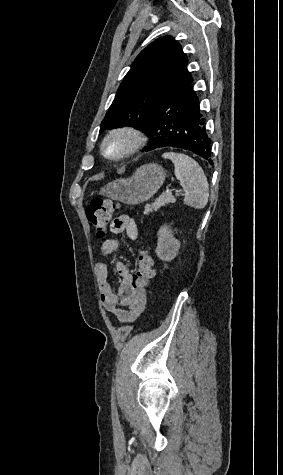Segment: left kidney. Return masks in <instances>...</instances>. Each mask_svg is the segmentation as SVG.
I'll use <instances>...</instances> for the list:
<instances>
[{
  "label": "left kidney",
  "mask_w": 283,
  "mask_h": 475,
  "mask_svg": "<svg viewBox=\"0 0 283 475\" xmlns=\"http://www.w3.org/2000/svg\"><path fill=\"white\" fill-rule=\"evenodd\" d=\"M157 236L158 241L155 251L158 257L164 259V261H171L180 249L179 239L174 238L169 226H161Z\"/></svg>",
  "instance_id": "obj_1"
}]
</instances>
